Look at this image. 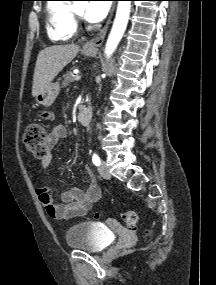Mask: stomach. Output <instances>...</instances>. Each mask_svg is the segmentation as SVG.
<instances>
[{
    "mask_svg": "<svg viewBox=\"0 0 216 285\" xmlns=\"http://www.w3.org/2000/svg\"><path fill=\"white\" fill-rule=\"evenodd\" d=\"M96 49L82 50V54L85 56H93L96 53ZM60 91V85L58 83H50L41 93L36 95L35 100L38 104L43 106H51L57 98Z\"/></svg>",
    "mask_w": 216,
    "mask_h": 285,
    "instance_id": "obj_1",
    "label": "stomach"
}]
</instances>
